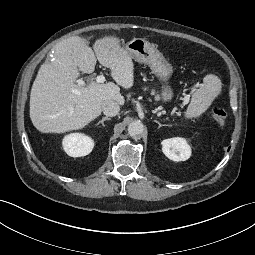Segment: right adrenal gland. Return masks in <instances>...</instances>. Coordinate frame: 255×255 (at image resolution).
<instances>
[{
    "label": "right adrenal gland",
    "instance_id": "obj_1",
    "mask_svg": "<svg viewBox=\"0 0 255 255\" xmlns=\"http://www.w3.org/2000/svg\"><path fill=\"white\" fill-rule=\"evenodd\" d=\"M106 120H111V118L103 117V118L97 123V125L102 124V126L104 127V126H105V125H104V121H106Z\"/></svg>",
    "mask_w": 255,
    "mask_h": 255
}]
</instances>
